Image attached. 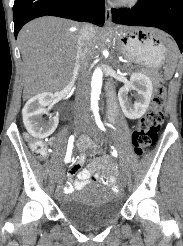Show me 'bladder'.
Returning <instances> with one entry per match:
<instances>
[{"mask_svg": "<svg viewBox=\"0 0 183 246\" xmlns=\"http://www.w3.org/2000/svg\"><path fill=\"white\" fill-rule=\"evenodd\" d=\"M121 209L119 200L101 184H91L87 191L61 204L62 215L81 228H94L113 221Z\"/></svg>", "mask_w": 183, "mask_h": 246, "instance_id": "obj_1", "label": "bladder"}]
</instances>
